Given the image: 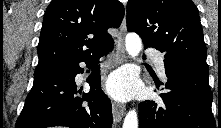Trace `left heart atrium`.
<instances>
[{
	"mask_svg": "<svg viewBox=\"0 0 221 128\" xmlns=\"http://www.w3.org/2000/svg\"><path fill=\"white\" fill-rule=\"evenodd\" d=\"M136 89L133 76L126 71L115 72L108 80L106 91L112 97L125 101L132 96Z\"/></svg>",
	"mask_w": 221,
	"mask_h": 128,
	"instance_id": "obj_1",
	"label": "left heart atrium"
}]
</instances>
